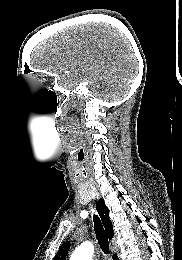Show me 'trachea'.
I'll return each mask as SVG.
<instances>
[{
    "mask_svg": "<svg viewBox=\"0 0 182 260\" xmlns=\"http://www.w3.org/2000/svg\"><path fill=\"white\" fill-rule=\"evenodd\" d=\"M93 220H94V229H95L96 238L98 240V244L101 250L103 251V253L107 255L110 253L107 234L104 230L101 220L97 215L94 214Z\"/></svg>",
    "mask_w": 182,
    "mask_h": 260,
    "instance_id": "obj_1",
    "label": "trachea"
}]
</instances>
